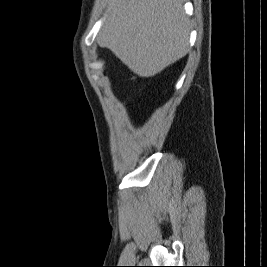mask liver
Masks as SVG:
<instances>
[{
	"instance_id": "6515ba94",
	"label": "liver",
	"mask_w": 267,
	"mask_h": 267,
	"mask_svg": "<svg viewBox=\"0 0 267 267\" xmlns=\"http://www.w3.org/2000/svg\"><path fill=\"white\" fill-rule=\"evenodd\" d=\"M183 0H109L97 36L139 77H153L189 51Z\"/></svg>"
}]
</instances>
